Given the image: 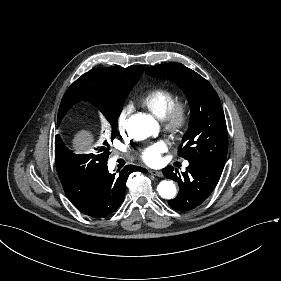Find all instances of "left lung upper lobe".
<instances>
[{
    "label": "left lung upper lobe",
    "instance_id": "obj_1",
    "mask_svg": "<svg viewBox=\"0 0 281 281\" xmlns=\"http://www.w3.org/2000/svg\"><path fill=\"white\" fill-rule=\"evenodd\" d=\"M145 72L174 81L187 96L191 117L179 156L188 161H200L222 172L228 151V134L220 99L211 84L180 63L157 65Z\"/></svg>",
    "mask_w": 281,
    "mask_h": 281
}]
</instances>
